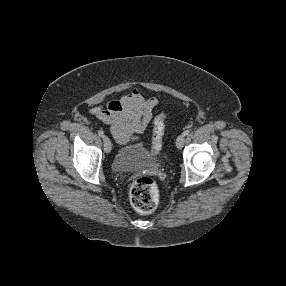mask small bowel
<instances>
[{
    "mask_svg": "<svg viewBox=\"0 0 286 286\" xmlns=\"http://www.w3.org/2000/svg\"><path fill=\"white\" fill-rule=\"evenodd\" d=\"M158 104L156 97L142 95L137 89L109 101L104 107H94L92 113L109 126L115 140L127 144L138 139L151 120Z\"/></svg>",
    "mask_w": 286,
    "mask_h": 286,
    "instance_id": "1",
    "label": "small bowel"
}]
</instances>
